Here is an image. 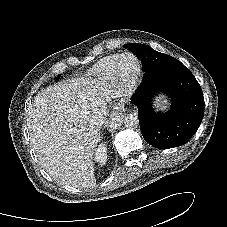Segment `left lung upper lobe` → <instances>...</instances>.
I'll return each mask as SVG.
<instances>
[{
    "label": "left lung upper lobe",
    "instance_id": "left-lung-upper-lobe-1",
    "mask_svg": "<svg viewBox=\"0 0 227 227\" xmlns=\"http://www.w3.org/2000/svg\"><path fill=\"white\" fill-rule=\"evenodd\" d=\"M142 45L143 44L128 43V44H125L124 46L127 47L128 49H130L135 54V51L140 49L142 47ZM158 53H159V57L156 60V62H154L149 67H143L145 74L146 73L147 74L156 73L162 69L174 67V66H178V65L182 64L180 61H178L177 59H175L169 55H166V54H163L160 52H158Z\"/></svg>",
    "mask_w": 227,
    "mask_h": 227
}]
</instances>
